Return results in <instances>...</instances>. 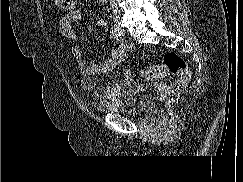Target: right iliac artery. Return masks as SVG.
I'll list each match as a JSON object with an SVG mask.
<instances>
[{
  "label": "right iliac artery",
  "mask_w": 243,
  "mask_h": 182,
  "mask_svg": "<svg viewBox=\"0 0 243 182\" xmlns=\"http://www.w3.org/2000/svg\"><path fill=\"white\" fill-rule=\"evenodd\" d=\"M111 33L117 39H119L121 37V32L118 27L112 28Z\"/></svg>",
  "instance_id": "82829eb1"
}]
</instances>
